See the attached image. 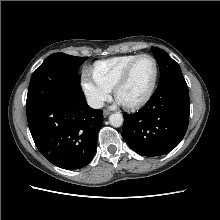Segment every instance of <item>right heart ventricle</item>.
Masks as SVG:
<instances>
[{
    "mask_svg": "<svg viewBox=\"0 0 220 220\" xmlns=\"http://www.w3.org/2000/svg\"><path fill=\"white\" fill-rule=\"evenodd\" d=\"M138 54L122 55L97 61L93 66V74L98 81L112 89L128 65Z\"/></svg>",
    "mask_w": 220,
    "mask_h": 220,
    "instance_id": "obj_1",
    "label": "right heart ventricle"
}]
</instances>
